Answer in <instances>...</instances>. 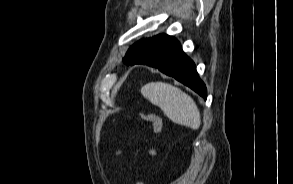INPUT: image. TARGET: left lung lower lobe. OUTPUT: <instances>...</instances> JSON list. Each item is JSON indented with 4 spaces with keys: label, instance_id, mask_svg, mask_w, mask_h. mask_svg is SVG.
<instances>
[{
    "label": "left lung lower lobe",
    "instance_id": "left-lung-lower-lobe-1",
    "mask_svg": "<svg viewBox=\"0 0 293 184\" xmlns=\"http://www.w3.org/2000/svg\"><path fill=\"white\" fill-rule=\"evenodd\" d=\"M146 50L149 57L137 64L159 69L190 87L206 100V87L198 76L194 62L182 51L178 40L166 34H159L147 42Z\"/></svg>",
    "mask_w": 293,
    "mask_h": 184
}]
</instances>
